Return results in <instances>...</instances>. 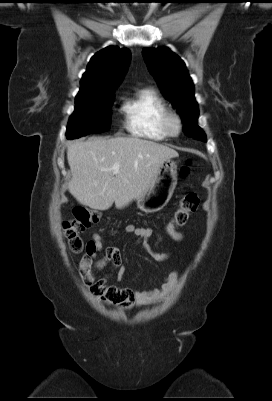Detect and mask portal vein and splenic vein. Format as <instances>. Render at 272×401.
<instances>
[{
    "instance_id": "obj_1",
    "label": "portal vein and splenic vein",
    "mask_w": 272,
    "mask_h": 401,
    "mask_svg": "<svg viewBox=\"0 0 272 401\" xmlns=\"http://www.w3.org/2000/svg\"><path fill=\"white\" fill-rule=\"evenodd\" d=\"M110 170H112L114 173H119L120 170L119 165L118 164L113 165V167Z\"/></svg>"
}]
</instances>
